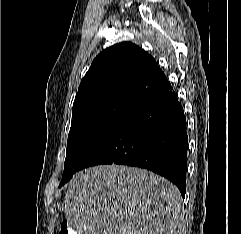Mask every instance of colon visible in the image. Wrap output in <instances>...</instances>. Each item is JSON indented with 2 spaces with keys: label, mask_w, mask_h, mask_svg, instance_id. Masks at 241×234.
<instances>
[{
  "label": "colon",
  "mask_w": 241,
  "mask_h": 234,
  "mask_svg": "<svg viewBox=\"0 0 241 234\" xmlns=\"http://www.w3.org/2000/svg\"><path fill=\"white\" fill-rule=\"evenodd\" d=\"M59 234H71L70 229L65 221L60 225Z\"/></svg>",
  "instance_id": "obj_1"
}]
</instances>
